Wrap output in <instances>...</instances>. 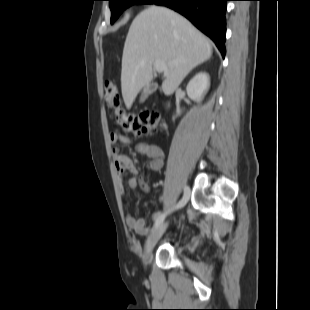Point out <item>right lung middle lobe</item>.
<instances>
[{"label": "right lung middle lobe", "mask_w": 310, "mask_h": 310, "mask_svg": "<svg viewBox=\"0 0 310 310\" xmlns=\"http://www.w3.org/2000/svg\"><path fill=\"white\" fill-rule=\"evenodd\" d=\"M153 0H109L111 9V24H113L120 14L133 4H151Z\"/></svg>", "instance_id": "obj_1"}]
</instances>
